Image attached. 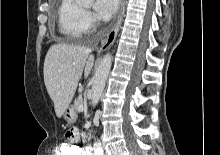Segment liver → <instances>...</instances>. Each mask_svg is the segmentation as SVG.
<instances>
[{"label": "liver", "mask_w": 220, "mask_h": 155, "mask_svg": "<svg viewBox=\"0 0 220 155\" xmlns=\"http://www.w3.org/2000/svg\"><path fill=\"white\" fill-rule=\"evenodd\" d=\"M93 64L94 56L87 47L58 43L49 48L44 61V82L58 118L69 107L83 70L87 78Z\"/></svg>", "instance_id": "obj_1"}]
</instances>
